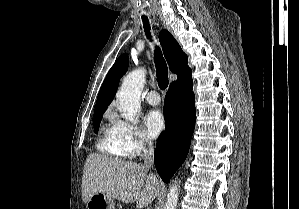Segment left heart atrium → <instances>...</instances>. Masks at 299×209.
Segmentation results:
<instances>
[{
	"mask_svg": "<svg viewBox=\"0 0 299 209\" xmlns=\"http://www.w3.org/2000/svg\"><path fill=\"white\" fill-rule=\"evenodd\" d=\"M145 124L148 136L150 138H156L164 130L166 120L160 110H152L147 114Z\"/></svg>",
	"mask_w": 299,
	"mask_h": 209,
	"instance_id": "39dd6f15",
	"label": "left heart atrium"
}]
</instances>
